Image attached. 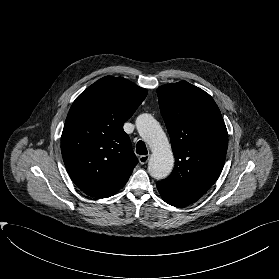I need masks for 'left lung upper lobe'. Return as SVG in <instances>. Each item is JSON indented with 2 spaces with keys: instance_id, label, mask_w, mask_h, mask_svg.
<instances>
[{
  "instance_id": "obj_1",
  "label": "left lung upper lobe",
  "mask_w": 279,
  "mask_h": 279,
  "mask_svg": "<svg viewBox=\"0 0 279 279\" xmlns=\"http://www.w3.org/2000/svg\"><path fill=\"white\" fill-rule=\"evenodd\" d=\"M157 94L175 156L173 172L163 182L202 196L219 178L226 158L221 112L208 93L186 81L163 85Z\"/></svg>"
}]
</instances>
